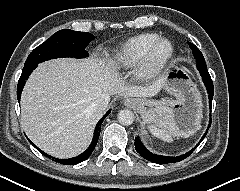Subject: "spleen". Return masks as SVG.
<instances>
[{
	"label": "spleen",
	"mask_w": 240,
	"mask_h": 191,
	"mask_svg": "<svg viewBox=\"0 0 240 191\" xmlns=\"http://www.w3.org/2000/svg\"><path fill=\"white\" fill-rule=\"evenodd\" d=\"M149 130L155 137L165 141V142H172V136H179V137H189L193 133H195L199 127L194 130L193 132H185L179 131L175 128L173 122L171 121V117L169 114H160L159 116L155 117L151 122H149Z\"/></svg>",
	"instance_id": "spleen-1"
}]
</instances>
